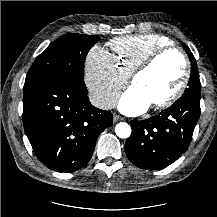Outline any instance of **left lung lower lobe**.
<instances>
[{"label": "left lung lower lobe", "mask_w": 217, "mask_h": 217, "mask_svg": "<svg viewBox=\"0 0 217 217\" xmlns=\"http://www.w3.org/2000/svg\"><path fill=\"white\" fill-rule=\"evenodd\" d=\"M199 115L200 99L182 96L154 117L131 121L128 159L141 169L167 167L187 150Z\"/></svg>", "instance_id": "1"}]
</instances>
